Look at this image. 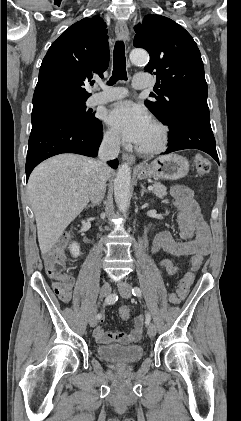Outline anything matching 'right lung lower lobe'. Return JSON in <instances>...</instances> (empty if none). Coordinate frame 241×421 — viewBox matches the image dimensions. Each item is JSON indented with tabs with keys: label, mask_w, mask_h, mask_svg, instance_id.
<instances>
[{
	"label": "right lung lower lobe",
	"mask_w": 241,
	"mask_h": 421,
	"mask_svg": "<svg viewBox=\"0 0 241 421\" xmlns=\"http://www.w3.org/2000/svg\"><path fill=\"white\" fill-rule=\"evenodd\" d=\"M103 137L102 123L93 129L82 126L65 116H54L32 123L26 160V180L43 160L61 153L97 156ZM108 164L116 169L117 159Z\"/></svg>",
	"instance_id": "1"
}]
</instances>
